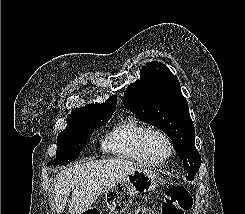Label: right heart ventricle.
<instances>
[{
	"mask_svg": "<svg viewBox=\"0 0 245 214\" xmlns=\"http://www.w3.org/2000/svg\"><path fill=\"white\" fill-rule=\"evenodd\" d=\"M148 129L138 118L129 116L109 132L103 141V147L119 158L149 165L140 150L141 136Z\"/></svg>",
	"mask_w": 245,
	"mask_h": 214,
	"instance_id": "obj_1",
	"label": "right heart ventricle"
}]
</instances>
